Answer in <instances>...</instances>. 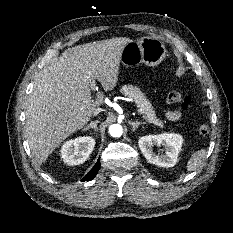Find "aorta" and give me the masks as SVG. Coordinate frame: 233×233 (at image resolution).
Here are the masks:
<instances>
[{"mask_svg":"<svg viewBox=\"0 0 233 233\" xmlns=\"http://www.w3.org/2000/svg\"><path fill=\"white\" fill-rule=\"evenodd\" d=\"M123 133L122 126L120 124H112L109 127V134L112 137H120Z\"/></svg>","mask_w":233,"mask_h":233,"instance_id":"obj_1","label":"aorta"}]
</instances>
